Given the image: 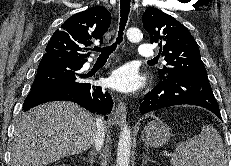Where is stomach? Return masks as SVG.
<instances>
[{"label": "stomach", "mask_w": 231, "mask_h": 166, "mask_svg": "<svg viewBox=\"0 0 231 166\" xmlns=\"http://www.w3.org/2000/svg\"><path fill=\"white\" fill-rule=\"evenodd\" d=\"M170 139V128L159 118L150 121L142 131V140L147 146L161 147Z\"/></svg>", "instance_id": "1"}]
</instances>
